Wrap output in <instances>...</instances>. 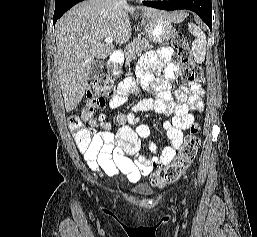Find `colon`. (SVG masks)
I'll return each mask as SVG.
<instances>
[{"label": "colon", "instance_id": "1", "mask_svg": "<svg viewBox=\"0 0 257 237\" xmlns=\"http://www.w3.org/2000/svg\"><path fill=\"white\" fill-rule=\"evenodd\" d=\"M172 46L176 50V61L181 66L183 77L191 84L202 83L204 80L203 71L200 67L193 64L192 53L185 36L181 33H175L172 39ZM90 94L92 98L87 105L92 109L99 107L98 105L105 102L104 97L114 94V87L111 80L106 75H100L91 84ZM99 119L103 121L104 116L100 115ZM68 126L78 143L83 148H87L92 136L83 128L81 118L77 115L69 116ZM199 129L198 124L193 123L191 125L178 156L171 163L158 169L151 176V184L153 186L163 187L177 181L190 167L201 143L198 136Z\"/></svg>", "mask_w": 257, "mask_h": 237}]
</instances>
